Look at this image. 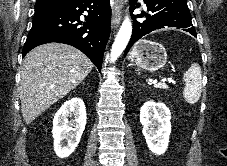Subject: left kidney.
I'll return each instance as SVG.
<instances>
[{"mask_svg": "<svg viewBox=\"0 0 227 166\" xmlns=\"http://www.w3.org/2000/svg\"><path fill=\"white\" fill-rule=\"evenodd\" d=\"M170 120V110L161 102L147 101L140 109L142 133L149 150L157 155L164 154L168 148Z\"/></svg>", "mask_w": 227, "mask_h": 166, "instance_id": "left-kidney-1", "label": "left kidney"}]
</instances>
